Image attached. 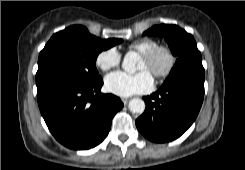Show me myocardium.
<instances>
[{
	"label": "myocardium",
	"instance_id": "f54148a6",
	"mask_svg": "<svg viewBox=\"0 0 245 170\" xmlns=\"http://www.w3.org/2000/svg\"><path fill=\"white\" fill-rule=\"evenodd\" d=\"M164 53L167 57V65L166 67L159 71V72H154L153 75L158 78V79H165L167 78L173 71L176 65V56L172 49L166 45H157L151 50L142 53L141 58L146 60V61H152L154 60L158 54Z\"/></svg>",
	"mask_w": 245,
	"mask_h": 170
}]
</instances>
